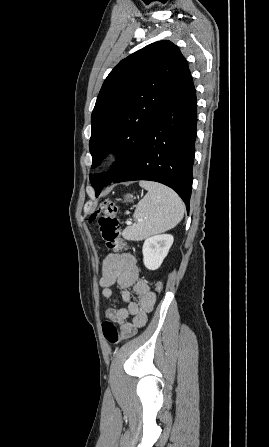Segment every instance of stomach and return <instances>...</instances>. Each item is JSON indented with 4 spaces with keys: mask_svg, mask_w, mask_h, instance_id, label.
<instances>
[{
    "mask_svg": "<svg viewBox=\"0 0 269 447\" xmlns=\"http://www.w3.org/2000/svg\"><path fill=\"white\" fill-rule=\"evenodd\" d=\"M126 200H128V198H131L130 194H127V196H125Z\"/></svg>",
    "mask_w": 269,
    "mask_h": 447,
    "instance_id": "stomach-1",
    "label": "stomach"
}]
</instances>
